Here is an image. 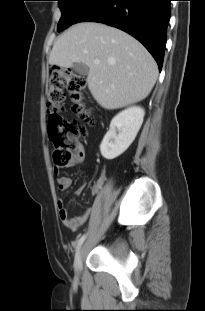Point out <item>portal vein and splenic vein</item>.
Instances as JSON below:
<instances>
[{
	"instance_id": "1",
	"label": "portal vein and splenic vein",
	"mask_w": 205,
	"mask_h": 311,
	"mask_svg": "<svg viewBox=\"0 0 205 311\" xmlns=\"http://www.w3.org/2000/svg\"><path fill=\"white\" fill-rule=\"evenodd\" d=\"M94 63H95V64H99V63H100V60L96 59V60H94Z\"/></svg>"
}]
</instances>
